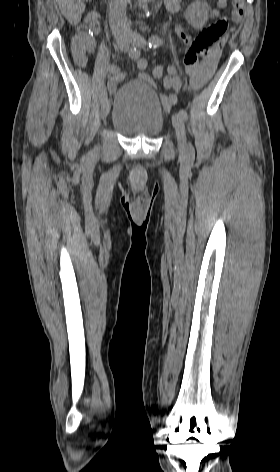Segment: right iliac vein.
<instances>
[{"mask_svg": "<svg viewBox=\"0 0 280 472\" xmlns=\"http://www.w3.org/2000/svg\"><path fill=\"white\" fill-rule=\"evenodd\" d=\"M117 43L119 48L123 51H127L129 49L130 37L128 36H121L117 39ZM110 111V101L106 97L101 103V110L100 115L102 119H105Z\"/></svg>", "mask_w": 280, "mask_h": 472, "instance_id": "obj_1", "label": "right iliac vein"}]
</instances>
